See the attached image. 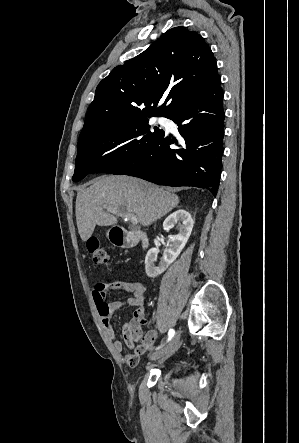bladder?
I'll list each match as a JSON object with an SVG mask.
<instances>
[{"mask_svg": "<svg viewBox=\"0 0 299 443\" xmlns=\"http://www.w3.org/2000/svg\"><path fill=\"white\" fill-rule=\"evenodd\" d=\"M179 370V367H178V365H176V364H173V365H171L169 368H168V371L169 372H172V373H175V372H177Z\"/></svg>", "mask_w": 299, "mask_h": 443, "instance_id": "31cf9c89", "label": "bladder"}]
</instances>
